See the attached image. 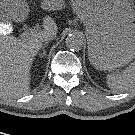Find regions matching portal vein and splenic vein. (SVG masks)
<instances>
[{
	"label": "portal vein and splenic vein",
	"mask_w": 135,
	"mask_h": 135,
	"mask_svg": "<svg viewBox=\"0 0 135 135\" xmlns=\"http://www.w3.org/2000/svg\"><path fill=\"white\" fill-rule=\"evenodd\" d=\"M10 32H11V30L8 27L0 28V34L6 35V34H8ZM35 32H36L35 29H27L26 31L23 32L22 36H29L31 34H34Z\"/></svg>",
	"instance_id": "18ae733b"
}]
</instances>
